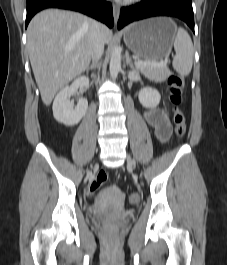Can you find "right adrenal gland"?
Returning a JSON list of instances; mask_svg holds the SVG:
<instances>
[{
    "mask_svg": "<svg viewBox=\"0 0 227 265\" xmlns=\"http://www.w3.org/2000/svg\"><path fill=\"white\" fill-rule=\"evenodd\" d=\"M96 67H97V62L87 67L86 72L88 73L90 70H94Z\"/></svg>",
    "mask_w": 227,
    "mask_h": 265,
    "instance_id": "right-adrenal-gland-1",
    "label": "right adrenal gland"
}]
</instances>
